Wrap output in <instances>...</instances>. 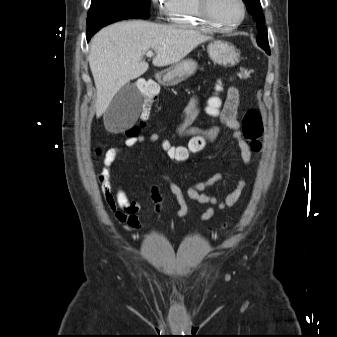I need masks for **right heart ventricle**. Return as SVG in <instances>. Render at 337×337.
I'll return each instance as SVG.
<instances>
[{
    "mask_svg": "<svg viewBox=\"0 0 337 337\" xmlns=\"http://www.w3.org/2000/svg\"><path fill=\"white\" fill-rule=\"evenodd\" d=\"M166 14L169 21L175 25L205 31L212 30L200 16L197 0H169Z\"/></svg>",
    "mask_w": 337,
    "mask_h": 337,
    "instance_id": "right-heart-ventricle-1",
    "label": "right heart ventricle"
}]
</instances>
